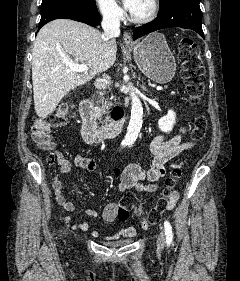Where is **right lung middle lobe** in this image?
Listing matches in <instances>:
<instances>
[{"mask_svg": "<svg viewBox=\"0 0 240 281\" xmlns=\"http://www.w3.org/2000/svg\"><path fill=\"white\" fill-rule=\"evenodd\" d=\"M58 6H72L91 11L97 9L95 0H42L41 13Z\"/></svg>", "mask_w": 240, "mask_h": 281, "instance_id": "obj_1", "label": "right lung middle lobe"}]
</instances>
